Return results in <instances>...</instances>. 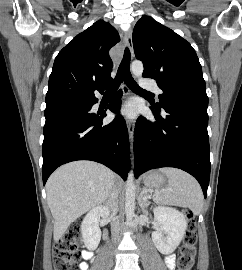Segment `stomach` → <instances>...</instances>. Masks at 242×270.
<instances>
[{"instance_id":"1","label":"stomach","mask_w":242,"mask_h":270,"mask_svg":"<svg viewBox=\"0 0 242 270\" xmlns=\"http://www.w3.org/2000/svg\"><path fill=\"white\" fill-rule=\"evenodd\" d=\"M144 185L148 192H153L160 189L165 184V177L158 171L149 173L144 178Z\"/></svg>"}]
</instances>
